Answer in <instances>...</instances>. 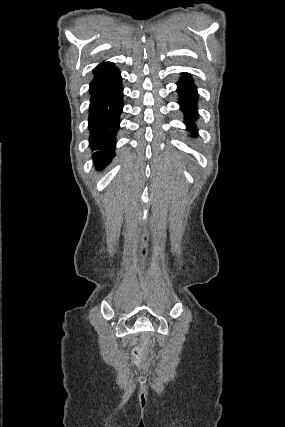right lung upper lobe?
Masks as SVG:
<instances>
[{
  "instance_id": "right-lung-upper-lobe-1",
  "label": "right lung upper lobe",
  "mask_w": 285,
  "mask_h": 427,
  "mask_svg": "<svg viewBox=\"0 0 285 427\" xmlns=\"http://www.w3.org/2000/svg\"><path fill=\"white\" fill-rule=\"evenodd\" d=\"M117 68L114 66L111 62H103L99 64L94 70L93 73L95 74V77L104 75L113 71H116Z\"/></svg>"
}]
</instances>
